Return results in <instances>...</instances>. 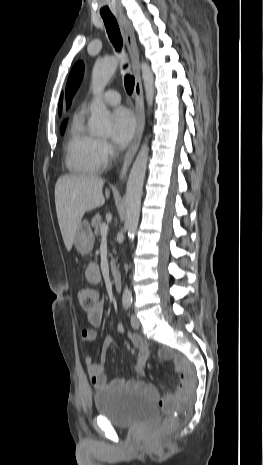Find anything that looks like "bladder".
I'll use <instances>...</instances> for the list:
<instances>
[{"label": "bladder", "mask_w": 263, "mask_h": 465, "mask_svg": "<svg viewBox=\"0 0 263 465\" xmlns=\"http://www.w3.org/2000/svg\"><path fill=\"white\" fill-rule=\"evenodd\" d=\"M93 400L97 413L120 428L149 422L158 414L155 402L136 390L107 386L96 392Z\"/></svg>", "instance_id": "obj_1"}]
</instances>
